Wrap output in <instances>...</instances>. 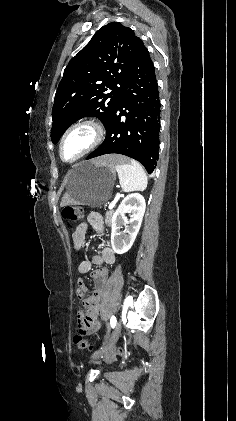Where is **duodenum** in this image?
Listing matches in <instances>:
<instances>
[{
  "label": "duodenum",
  "mask_w": 236,
  "mask_h": 421,
  "mask_svg": "<svg viewBox=\"0 0 236 421\" xmlns=\"http://www.w3.org/2000/svg\"><path fill=\"white\" fill-rule=\"evenodd\" d=\"M94 260L98 264H112L115 261V253L110 249H104L102 255L95 257ZM106 276L107 271L104 268L97 269L94 271V277L97 281V286L94 291L93 297L90 299H86V302L88 303L90 308L91 318H93L100 309ZM85 318L86 317L84 316V319Z\"/></svg>",
  "instance_id": "duodenum-1"
}]
</instances>
